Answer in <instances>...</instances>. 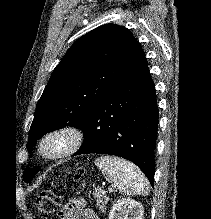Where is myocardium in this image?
I'll return each instance as SVG.
<instances>
[{
  "mask_svg": "<svg viewBox=\"0 0 211 219\" xmlns=\"http://www.w3.org/2000/svg\"><path fill=\"white\" fill-rule=\"evenodd\" d=\"M84 143L83 131L75 125H64L44 133L36 144L39 160L52 163L73 156Z\"/></svg>",
  "mask_w": 211,
  "mask_h": 219,
  "instance_id": "1",
  "label": "myocardium"
}]
</instances>
